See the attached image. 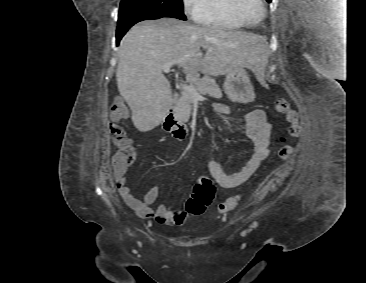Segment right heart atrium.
I'll return each mask as SVG.
<instances>
[{
    "instance_id": "obj_1",
    "label": "right heart atrium",
    "mask_w": 366,
    "mask_h": 283,
    "mask_svg": "<svg viewBox=\"0 0 366 283\" xmlns=\"http://www.w3.org/2000/svg\"><path fill=\"white\" fill-rule=\"evenodd\" d=\"M207 0H182L185 13L194 20H198L205 10Z\"/></svg>"
}]
</instances>
